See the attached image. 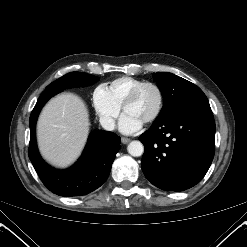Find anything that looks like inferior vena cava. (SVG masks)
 <instances>
[{
	"instance_id": "obj_1",
	"label": "inferior vena cava",
	"mask_w": 247,
	"mask_h": 247,
	"mask_svg": "<svg viewBox=\"0 0 247 247\" xmlns=\"http://www.w3.org/2000/svg\"><path fill=\"white\" fill-rule=\"evenodd\" d=\"M100 124L105 130L108 131H112L115 128V121L111 117H101Z\"/></svg>"
}]
</instances>
